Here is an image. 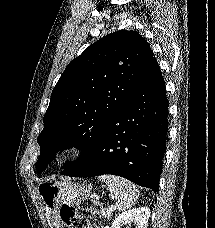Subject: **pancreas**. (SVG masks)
Wrapping results in <instances>:
<instances>
[{
    "instance_id": "pancreas-1",
    "label": "pancreas",
    "mask_w": 215,
    "mask_h": 228,
    "mask_svg": "<svg viewBox=\"0 0 215 228\" xmlns=\"http://www.w3.org/2000/svg\"><path fill=\"white\" fill-rule=\"evenodd\" d=\"M113 212L110 210V208H102L100 212V218H110L112 216Z\"/></svg>"
}]
</instances>
